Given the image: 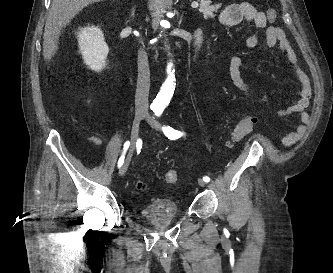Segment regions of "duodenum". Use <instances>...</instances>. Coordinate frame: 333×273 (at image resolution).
<instances>
[{"instance_id": "duodenum-1", "label": "duodenum", "mask_w": 333, "mask_h": 273, "mask_svg": "<svg viewBox=\"0 0 333 273\" xmlns=\"http://www.w3.org/2000/svg\"><path fill=\"white\" fill-rule=\"evenodd\" d=\"M202 42H203V34L202 31L199 29H196L194 31V35H193V52L195 54L198 53V51L200 50L201 46H202Z\"/></svg>"}]
</instances>
